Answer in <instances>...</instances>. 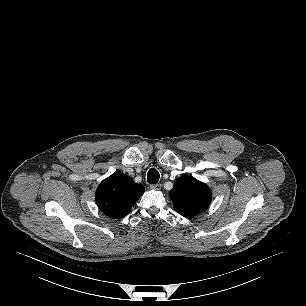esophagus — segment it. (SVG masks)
<instances>
[{"instance_id": "obj_1", "label": "esophagus", "mask_w": 306, "mask_h": 306, "mask_svg": "<svg viewBox=\"0 0 306 306\" xmlns=\"http://www.w3.org/2000/svg\"><path fill=\"white\" fill-rule=\"evenodd\" d=\"M150 188L153 190H160L161 189V184H151Z\"/></svg>"}]
</instances>
